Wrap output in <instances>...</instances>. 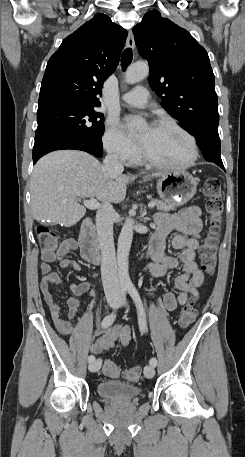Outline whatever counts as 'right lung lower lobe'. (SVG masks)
Segmentation results:
<instances>
[{
	"label": "right lung lower lobe",
	"mask_w": 245,
	"mask_h": 457,
	"mask_svg": "<svg viewBox=\"0 0 245 457\" xmlns=\"http://www.w3.org/2000/svg\"><path fill=\"white\" fill-rule=\"evenodd\" d=\"M63 149L82 150L91 154L89 148L80 141L66 137H53L39 141L34 144L33 163L35 164L38 161V159H40L43 155L51 151Z\"/></svg>",
	"instance_id": "1"
}]
</instances>
